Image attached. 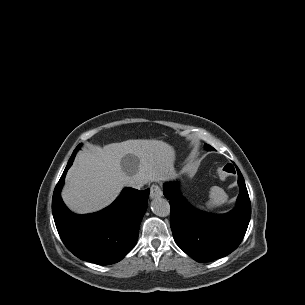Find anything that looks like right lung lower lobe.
I'll return each instance as SVG.
<instances>
[{
    "mask_svg": "<svg viewBox=\"0 0 305 305\" xmlns=\"http://www.w3.org/2000/svg\"><path fill=\"white\" fill-rule=\"evenodd\" d=\"M75 153L54 190L52 211L56 228L75 256L101 265L118 262L137 242L150 189L125 188L109 207L93 214H74L65 207L60 190Z\"/></svg>",
    "mask_w": 305,
    "mask_h": 305,
    "instance_id": "right-lung-lower-lobe-1",
    "label": "right lung lower lobe"
}]
</instances>
